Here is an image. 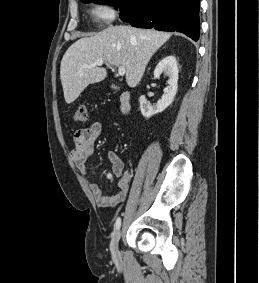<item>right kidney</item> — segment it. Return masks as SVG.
Here are the masks:
<instances>
[{
  "label": "right kidney",
  "instance_id": "1",
  "mask_svg": "<svg viewBox=\"0 0 259 283\" xmlns=\"http://www.w3.org/2000/svg\"><path fill=\"white\" fill-rule=\"evenodd\" d=\"M162 73L169 77L168 86L164 89L162 98L154 106L147 103L144 95L139 98L140 111L146 118H150L151 116L164 111L171 105L177 93L178 64L174 56H167L158 63L154 70V77L159 78Z\"/></svg>",
  "mask_w": 259,
  "mask_h": 283
}]
</instances>
